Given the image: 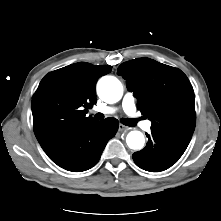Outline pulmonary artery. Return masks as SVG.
Returning a JSON list of instances; mask_svg holds the SVG:
<instances>
[{"label": "pulmonary artery", "instance_id": "e3ab8cb5", "mask_svg": "<svg viewBox=\"0 0 221 221\" xmlns=\"http://www.w3.org/2000/svg\"><path fill=\"white\" fill-rule=\"evenodd\" d=\"M122 106L124 111L129 115L133 116L134 120L137 124H139L143 129L150 130L151 128V122H140L138 118H136V107H135V97L131 92H127L122 100ZM98 112L104 113V114H111L115 111L112 107H103L97 109Z\"/></svg>", "mask_w": 221, "mask_h": 221}]
</instances>
